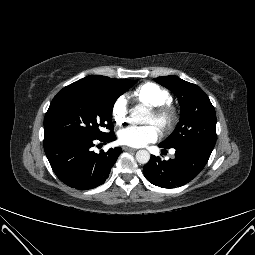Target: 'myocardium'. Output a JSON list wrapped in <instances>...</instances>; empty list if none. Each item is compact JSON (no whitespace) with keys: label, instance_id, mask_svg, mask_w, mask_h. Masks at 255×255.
<instances>
[{"label":"myocardium","instance_id":"1","mask_svg":"<svg viewBox=\"0 0 255 255\" xmlns=\"http://www.w3.org/2000/svg\"><path fill=\"white\" fill-rule=\"evenodd\" d=\"M151 111L155 116L157 126L163 132H171L179 121L178 110L171 102L151 106Z\"/></svg>","mask_w":255,"mask_h":255}]
</instances>
